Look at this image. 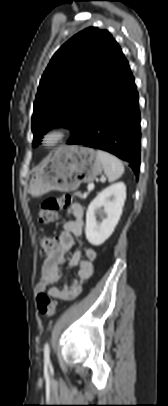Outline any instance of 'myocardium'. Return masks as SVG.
Segmentation results:
<instances>
[{"mask_svg": "<svg viewBox=\"0 0 168 406\" xmlns=\"http://www.w3.org/2000/svg\"><path fill=\"white\" fill-rule=\"evenodd\" d=\"M66 132L61 127H53L47 130L42 136V144L46 148H54L59 145L65 138Z\"/></svg>", "mask_w": 168, "mask_h": 406, "instance_id": "myocardium-1", "label": "myocardium"}]
</instances>
